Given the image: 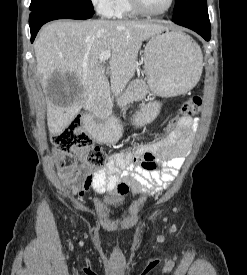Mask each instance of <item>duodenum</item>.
Instances as JSON below:
<instances>
[{
    "label": "duodenum",
    "mask_w": 247,
    "mask_h": 275,
    "mask_svg": "<svg viewBox=\"0 0 247 275\" xmlns=\"http://www.w3.org/2000/svg\"><path fill=\"white\" fill-rule=\"evenodd\" d=\"M111 100H112L111 94L106 93L103 99L100 101V103L96 107V112L101 113V112L109 111L111 109Z\"/></svg>",
    "instance_id": "1"
}]
</instances>
